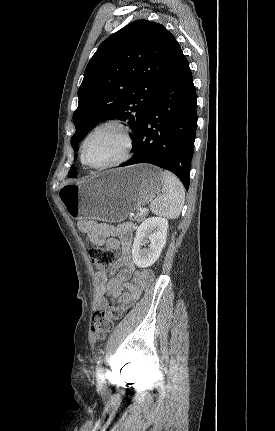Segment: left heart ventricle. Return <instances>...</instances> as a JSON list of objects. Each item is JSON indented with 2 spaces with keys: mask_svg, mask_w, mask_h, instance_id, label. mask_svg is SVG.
Returning <instances> with one entry per match:
<instances>
[{
  "mask_svg": "<svg viewBox=\"0 0 275 431\" xmlns=\"http://www.w3.org/2000/svg\"><path fill=\"white\" fill-rule=\"evenodd\" d=\"M124 150L122 133L113 127L97 131L86 146V159L93 165L111 162L119 158Z\"/></svg>",
  "mask_w": 275,
  "mask_h": 431,
  "instance_id": "left-heart-ventricle-1",
  "label": "left heart ventricle"
}]
</instances>
